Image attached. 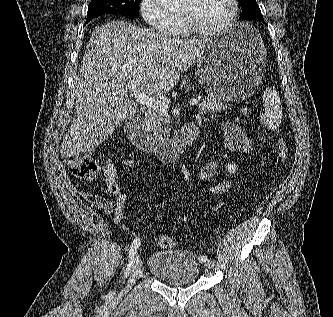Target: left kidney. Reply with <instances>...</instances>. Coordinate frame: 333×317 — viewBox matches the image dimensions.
Returning <instances> with one entry per match:
<instances>
[{"instance_id":"left-kidney-1","label":"left kidney","mask_w":333,"mask_h":317,"mask_svg":"<svg viewBox=\"0 0 333 317\" xmlns=\"http://www.w3.org/2000/svg\"><path fill=\"white\" fill-rule=\"evenodd\" d=\"M226 168L230 174H233L236 172L237 166L235 164H228Z\"/></svg>"}]
</instances>
